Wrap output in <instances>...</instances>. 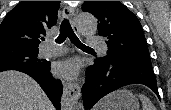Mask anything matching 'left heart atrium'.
<instances>
[{
  "label": "left heart atrium",
  "mask_w": 171,
  "mask_h": 110,
  "mask_svg": "<svg viewBox=\"0 0 171 110\" xmlns=\"http://www.w3.org/2000/svg\"><path fill=\"white\" fill-rule=\"evenodd\" d=\"M80 70L78 60L72 59L64 62L56 63L53 72L59 78L74 79L77 77Z\"/></svg>",
  "instance_id": "39dd6f15"
}]
</instances>
